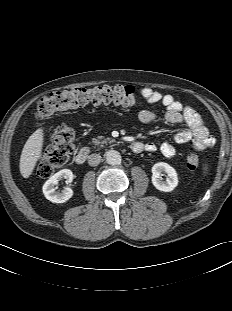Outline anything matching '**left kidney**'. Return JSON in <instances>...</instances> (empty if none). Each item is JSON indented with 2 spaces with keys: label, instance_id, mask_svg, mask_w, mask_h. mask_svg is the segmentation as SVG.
I'll list each match as a JSON object with an SVG mask.
<instances>
[{
  "label": "left kidney",
  "instance_id": "obj_1",
  "mask_svg": "<svg viewBox=\"0 0 232 311\" xmlns=\"http://www.w3.org/2000/svg\"><path fill=\"white\" fill-rule=\"evenodd\" d=\"M162 173L167 174L166 181L162 180ZM152 184L154 187L163 192H171L178 185L176 170L167 163L158 162L152 167Z\"/></svg>",
  "mask_w": 232,
  "mask_h": 311
}]
</instances>
